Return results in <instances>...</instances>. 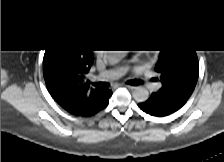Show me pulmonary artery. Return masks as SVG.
I'll return each mask as SVG.
<instances>
[{"label": "pulmonary artery", "mask_w": 224, "mask_h": 162, "mask_svg": "<svg viewBox=\"0 0 224 162\" xmlns=\"http://www.w3.org/2000/svg\"><path fill=\"white\" fill-rule=\"evenodd\" d=\"M125 73V70L122 68H115L111 70H107L97 76L96 79L103 81H111L120 78Z\"/></svg>", "instance_id": "obj_1"}]
</instances>
